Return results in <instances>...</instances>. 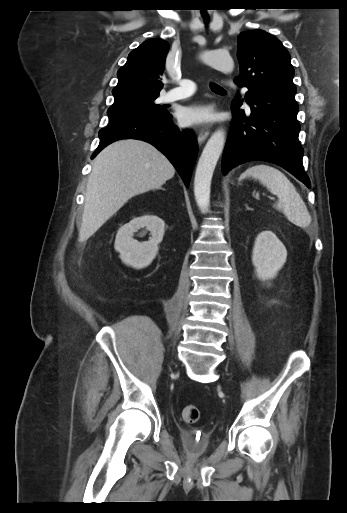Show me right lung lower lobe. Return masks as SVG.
<instances>
[{"mask_svg": "<svg viewBox=\"0 0 347 513\" xmlns=\"http://www.w3.org/2000/svg\"><path fill=\"white\" fill-rule=\"evenodd\" d=\"M99 137L100 143L92 158L114 141L129 138L143 140L170 160L188 187L198 153L197 141L193 133L180 131L172 124L168 112L159 118L137 115L111 120L106 128L99 131Z\"/></svg>", "mask_w": 347, "mask_h": 513, "instance_id": "obj_1", "label": "right lung lower lobe"}]
</instances>
